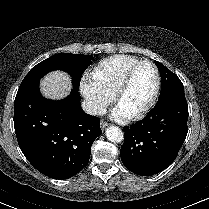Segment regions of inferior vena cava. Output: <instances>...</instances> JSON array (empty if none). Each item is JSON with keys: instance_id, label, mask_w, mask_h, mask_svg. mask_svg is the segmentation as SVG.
I'll use <instances>...</instances> for the list:
<instances>
[{"instance_id": "obj_1", "label": "inferior vena cava", "mask_w": 209, "mask_h": 209, "mask_svg": "<svg viewBox=\"0 0 209 209\" xmlns=\"http://www.w3.org/2000/svg\"><path fill=\"white\" fill-rule=\"evenodd\" d=\"M82 108L89 115L102 116L106 113V107L103 104L91 100H84Z\"/></svg>"}]
</instances>
